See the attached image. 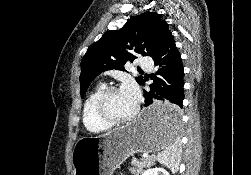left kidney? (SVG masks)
<instances>
[{
	"label": "left kidney",
	"mask_w": 251,
	"mask_h": 175,
	"mask_svg": "<svg viewBox=\"0 0 251 175\" xmlns=\"http://www.w3.org/2000/svg\"><path fill=\"white\" fill-rule=\"evenodd\" d=\"M142 175H170V173L164 167H149L143 171Z\"/></svg>",
	"instance_id": "left-kidney-1"
}]
</instances>
